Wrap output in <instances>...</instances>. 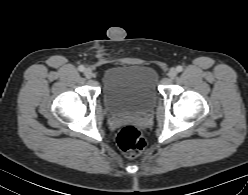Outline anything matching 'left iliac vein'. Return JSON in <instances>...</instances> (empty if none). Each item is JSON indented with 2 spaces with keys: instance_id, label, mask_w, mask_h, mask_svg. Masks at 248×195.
Returning <instances> with one entry per match:
<instances>
[{
  "instance_id": "4c4485c4",
  "label": "left iliac vein",
  "mask_w": 248,
  "mask_h": 195,
  "mask_svg": "<svg viewBox=\"0 0 248 195\" xmlns=\"http://www.w3.org/2000/svg\"><path fill=\"white\" fill-rule=\"evenodd\" d=\"M178 74V71L177 69L175 68H171L168 72V76L171 78V79H174Z\"/></svg>"
}]
</instances>
